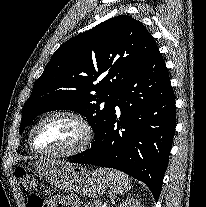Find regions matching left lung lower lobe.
Returning a JSON list of instances; mask_svg holds the SVG:
<instances>
[{"label": "left lung lower lobe", "instance_id": "1", "mask_svg": "<svg viewBox=\"0 0 206 207\" xmlns=\"http://www.w3.org/2000/svg\"><path fill=\"white\" fill-rule=\"evenodd\" d=\"M116 106L120 109L118 114ZM175 121L173 89L163 57L156 48L117 92L111 114L94 144L70 157L71 162L121 170L143 181L157 201Z\"/></svg>", "mask_w": 206, "mask_h": 207}]
</instances>
